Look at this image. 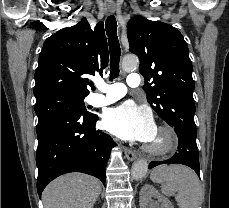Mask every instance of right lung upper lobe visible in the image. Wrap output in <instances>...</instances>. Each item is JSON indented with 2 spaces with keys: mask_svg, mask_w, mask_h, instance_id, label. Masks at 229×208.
<instances>
[{
  "mask_svg": "<svg viewBox=\"0 0 229 208\" xmlns=\"http://www.w3.org/2000/svg\"><path fill=\"white\" fill-rule=\"evenodd\" d=\"M108 64V46L103 22L94 30L86 18L63 28L43 44L35 72L36 102L51 96L85 97L93 83L85 78Z\"/></svg>",
  "mask_w": 229,
  "mask_h": 208,
  "instance_id": "cb5924a9",
  "label": "right lung upper lobe"
}]
</instances>
